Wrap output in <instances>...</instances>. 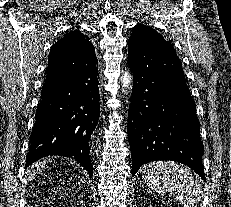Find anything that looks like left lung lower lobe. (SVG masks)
Returning <instances> with one entry per match:
<instances>
[{
    "label": "left lung lower lobe",
    "instance_id": "0a47b994",
    "mask_svg": "<svg viewBox=\"0 0 231 207\" xmlns=\"http://www.w3.org/2000/svg\"><path fill=\"white\" fill-rule=\"evenodd\" d=\"M128 47L134 75L127 126L133 176L143 164L171 160L189 166L205 180L200 123L174 48Z\"/></svg>",
    "mask_w": 231,
    "mask_h": 207
}]
</instances>
